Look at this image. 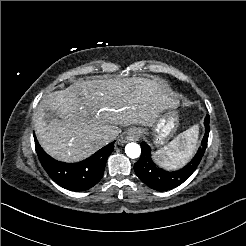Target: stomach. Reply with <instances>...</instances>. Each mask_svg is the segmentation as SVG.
Wrapping results in <instances>:
<instances>
[{
    "mask_svg": "<svg viewBox=\"0 0 246 246\" xmlns=\"http://www.w3.org/2000/svg\"><path fill=\"white\" fill-rule=\"evenodd\" d=\"M176 123L177 117L175 113L169 112L164 114L152 127L154 132V144L157 146L165 144L166 139L174 130Z\"/></svg>",
    "mask_w": 246,
    "mask_h": 246,
    "instance_id": "0dacf381",
    "label": "stomach"
}]
</instances>
